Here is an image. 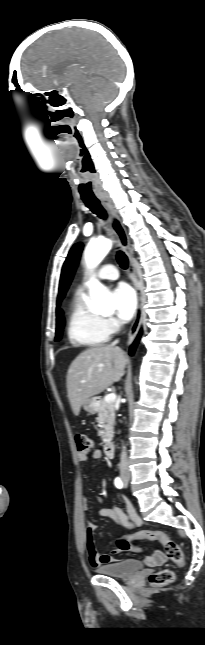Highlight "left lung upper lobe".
<instances>
[{"label": "left lung upper lobe", "instance_id": "left-lung-upper-lobe-1", "mask_svg": "<svg viewBox=\"0 0 205 645\" xmlns=\"http://www.w3.org/2000/svg\"><path fill=\"white\" fill-rule=\"evenodd\" d=\"M83 245L81 243L75 244L65 262L62 268V273H61V278H60V286H59V298L60 300L65 296V293L70 285V282L72 280V277L74 275L75 269L77 267V264L80 259V255L82 252Z\"/></svg>", "mask_w": 205, "mask_h": 645}]
</instances>
